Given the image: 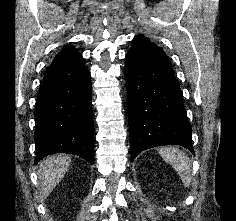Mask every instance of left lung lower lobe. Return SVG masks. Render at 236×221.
<instances>
[{
  "instance_id": "left-lung-lower-lobe-1",
  "label": "left lung lower lobe",
  "mask_w": 236,
  "mask_h": 221,
  "mask_svg": "<svg viewBox=\"0 0 236 221\" xmlns=\"http://www.w3.org/2000/svg\"><path fill=\"white\" fill-rule=\"evenodd\" d=\"M126 58L131 161L162 145H181L194 154L183 94L165 52L137 35Z\"/></svg>"
}]
</instances>
